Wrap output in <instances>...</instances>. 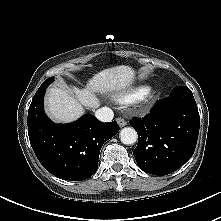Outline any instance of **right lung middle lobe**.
Listing matches in <instances>:
<instances>
[{
    "mask_svg": "<svg viewBox=\"0 0 221 221\" xmlns=\"http://www.w3.org/2000/svg\"><path fill=\"white\" fill-rule=\"evenodd\" d=\"M54 77H50L49 79H47L46 81H44L42 83V85H45V87H47L51 82H53Z\"/></svg>",
    "mask_w": 221,
    "mask_h": 221,
    "instance_id": "obj_1",
    "label": "right lung middle lobe"
}]
</instances>
